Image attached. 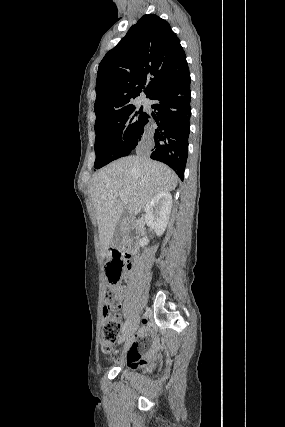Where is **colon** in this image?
I'll return each mask as SVG.
<instances>
[{"label":"colon","instance_id":"5ec220e1","mask_svg":"<svg viewBox=\"0 0 285 427\" xmlns=\"http://www.w3.org/2000/svg\"><path fill=\"white\" fill-rule=\"evenodd\" d=\"M125 263L117 252H112L105 265V271L109 286L104 293V315L102 328V347L104 351H109L119 338L122 332V323L114 315L121 305L122 292L119 281L123 275Z\"/></svg>","mask_w":285,"mask_h":427}]
</instances>
